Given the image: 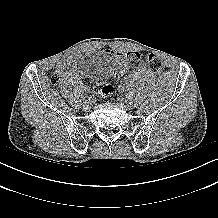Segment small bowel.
Segmentation results:
<instances>
[{
    "label": "small bowel",
    "mask_w": 218,
    "mask_h": 218,
    "mask_svg": "<svg viewBox=\"0 0 218 218\" xmlns=\"http://www.w3.org/2000/svg\"><path fill=\"white\" fill-rule=\"evenodd\" d=\"M131 52H122V51H112L105 50L104 54L109 58L110 62L114 66H121L125 60L127 55ZM57 72L60 75H82V58L79 54H70L65 56L62 60H60L56 65Z\"/></svg>",
    "instance_id": "obj_1"
}]
</instances>
